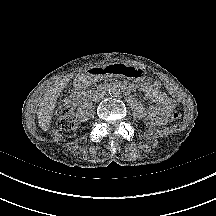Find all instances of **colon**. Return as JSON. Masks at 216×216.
I'll return each instance as SVG.
<instances>
[{"mask_svg": "<svg viewBox=\"0 0 216 216\" xmlns=\"http://www.w3.org/2000/svg\"><path fill=\"white\" fill-rule=\"evenodd\" d=\"M57 126L64 131H70L77 127V120L73 114V107L67 100H62L56 110ZM182 117L180 110H174L171 114V119L174 121L179 120Z\"/></svg>", "mask_w": 216, "mask_h": 216, "instance_id": "1", "label": "colon"}]
</instances>
